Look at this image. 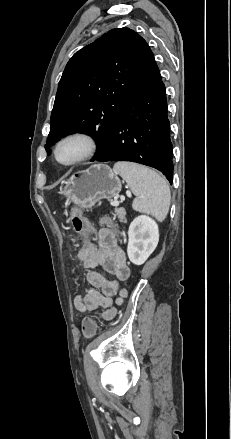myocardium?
Wrapping results in <instances>:
<instances>
[{"label":"myocardium","instance_id":"myocardium-1","mask_svg":"<svg viewBox=\"0 0 231 439\" xmlns=\"http://www.w3.org/2000/svg\"><path fill=\"white\" fill-rule=\"evenodd\" d=\"M74 139L81 140L85 143V145H86L85 152L81 156H79L78 158H76L70 162H62L58 157V151H59L60 147L65 142L70 141V140H74ZM97 149H98V142L92 134H90L86 131H72V132H69V133L63 135L56 142L54 149H53V156H54L55 161L59 165L64 166V167H71V166H75L77 164H80V163L90 159L96 153Z\"/></svg>","mask_w":231,"mask_h":439}]
</instances>
